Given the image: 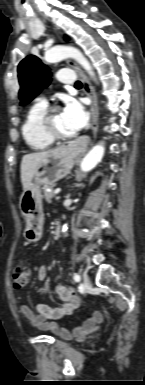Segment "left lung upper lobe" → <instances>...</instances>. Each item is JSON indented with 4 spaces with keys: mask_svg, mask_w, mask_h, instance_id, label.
Listing matches in <instances>:
<instances>
[{
    "mask_svg": "<svg viewBox=\"0 0 145 385\" xmlns=\"http://www.w3.org/2000/svg\"><path fill=\"white\" fill-rule=\"evenodd\" d=\"M49 69L34 55L24 58L18 66L20 105L29 103L50 82Z\"/></svg>",
    "mask_w": 145,
    "mask_h": 385,
    "instance_id": "5c2ea615",
    "label": "left lung upper lobe"
}]
</instances>
